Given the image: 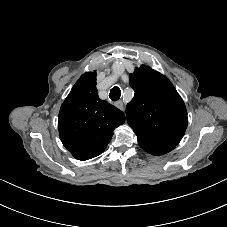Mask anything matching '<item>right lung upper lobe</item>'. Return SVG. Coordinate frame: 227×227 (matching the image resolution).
<instances>
[{"mask_svg":"<svg viewBox=\"0 0 227 227\" xmlns=\"http://www.w3.org/2000/svg\"><path fill=\"white\" fill-rule=\"evenodd\" d=\"M125 122L122 111L98 97L96 71L85 73L63 102L58 118L60 139L78 160L100 155L116 127Z\"/></svg>","mask_w":227,"mask_h":227,"instance_id":"1","label":"right lung upper lobe"}]
</instances>
